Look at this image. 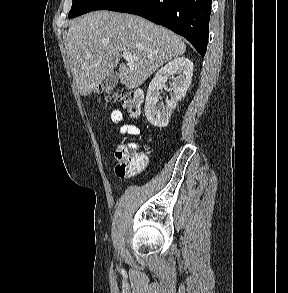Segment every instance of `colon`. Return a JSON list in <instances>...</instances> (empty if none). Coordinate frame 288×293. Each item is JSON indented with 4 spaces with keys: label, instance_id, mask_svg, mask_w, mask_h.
Listing matches in <instances>:
<instances>
[{
    "label": "colon",
    "instance_id": "obj_1",
    "mask_svg": "<svg viewBox=\"0 0 288 293\" xmlns=\"http://www.w3.org/2000/svg\"><path fill=\"white\" fill-rule=\"evenodd\" d=\"M123 108L131 117L140 115L141 107L144 101V94L140 89L124 90L119 96ZM106 99H115L116 96H107ZM133 144H120L115 150L117 161L116 173L118 176H130L139 173L146 164V157L135 151Z\"/></svg>",
    "mask_w": 288,
    "mask_h": 293
}]
</instances>
